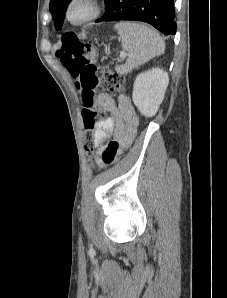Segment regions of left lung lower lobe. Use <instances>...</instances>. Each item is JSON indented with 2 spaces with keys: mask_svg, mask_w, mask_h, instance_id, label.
Segmentation results:
<instances>
[{
  "mask_svg": "<svg viewBox=\"0 0 227 298\" xmlns=\"http://www.w3.org/2000/svg\"><path fill=\"white\" fill-rule=\"evenodd\" d=\"M174 0H109L105 14L97 20H136L153 25L163 34H175Z\"/></svg>",
  "mask_w": 227,
  "mask_h": 298,
  "instance_id": "1",
  "label": "left lung lower lobe"
}]
</instances>
